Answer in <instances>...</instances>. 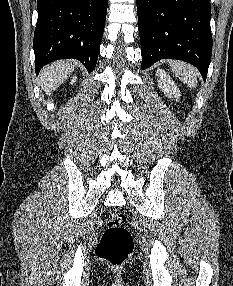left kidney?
Wrapping results in <instances>:
<instances>
[{"label":"left kidney","mask_w":233,"mask_h":286,"mask_svg":"<svg viewBox=\"0 0 233 286\" xmlns=\"http://www.w3.org/2000/svg\"><path fill=\"white\" fill-rule=\"evenodd\" d=\"M158 87L168 96L169 98H175L177 101L181 96L180 90L170 75L167 74L163 69L157 70Z\"/></svg>","instance_id":"obj_1"}]
</instances>
